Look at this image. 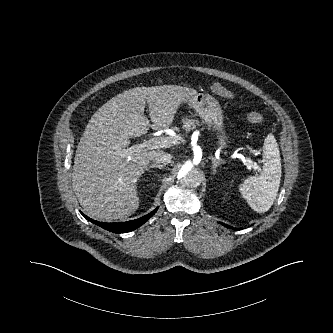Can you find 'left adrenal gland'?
<instances>
[{
  "label": "left adrenal gland",
  "mask_w": 333,
  "mask_h": 333,
  "mask_svg": "<svg viewBox=\"0 0 333 333\" xmlns=\"http://www.w3.org/2000/svg\"><path fill=\"white\" fill-rule=\"evenodd\" d=\"M211 161H212V169H213V173L216 172V168L219 166V162L213 157H210Z\"/></svg>",
  "instance_id": "obj_1"
}]
</instances>
